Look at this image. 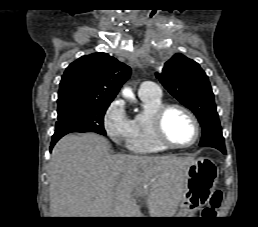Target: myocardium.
Here are the masks:
<instances>
[{
  "label": "myocardium",
  "mask_w": 258,
  "mask_h": 227,
  "mask_svg": "<svg viewBox=\"0 0 258 227\" xmlns=\"http://www.w3.org/2000/svg\"><path fill=\"white\" fill-rule=\"evenodd\" d=\"M173 109H177L184 112L193 123L195 135H194V138L189 143H186V144L175 143L165 133V129H164L165 117L168 114V112ZM152 126H153V131L157 141L160 144L170 148H189L194 144H196V142L199 140V137H200V124L198 122V119L196 118V116L193 114L191 110H189L187 107L180 104H163L162 106H160L153 114Z\"/></svg>",
  "instance_id": "f54148a6"
}]
</instances>
